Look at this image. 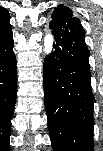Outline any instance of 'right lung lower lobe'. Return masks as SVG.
<instances>
[{
	"label": "right lung lower lobe",
	"mask_w": 103,
	"mask_h": 151,
	"mask_svg": "<svg viewBox=\"0 0 103 151\" xmlns=\"http://www.w3.org/2000/svg\"><path fill=\"white\" fill-rule=\"evenodd\" d=\"M11 30L10 24L0 29V139L6 144L10 137L17 91L16 57Z\"/></svg>",
	"instance_id": "98d812e1"
}]
</instances>
